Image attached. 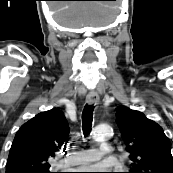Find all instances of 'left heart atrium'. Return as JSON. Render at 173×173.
<instances>
[{"mask_svg": "<svg viewBox=\"0 0 173 173\" xmlns=\"http://www.w3.org/2000/svg\"><path fill=\"white\" fill-rule=\"evenodd\" d=\"M83 173H108L110 171V167L105 164H96L88 167L81 168Z\"/></svg>", "mask_w": 173, "mask_h": 173, "instance_id": "left-heart-atrium-1", "label": "left heart atrium"}]
</instances>
